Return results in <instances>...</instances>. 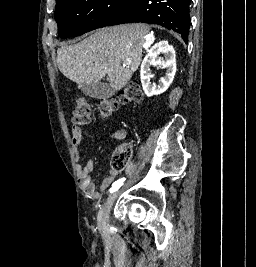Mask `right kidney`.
Wrapping results in <instances>:
<instances>
[{"label": "right kidney", "mask_w": 256, "mask_h": 267, "mask_svg": "<svg viewBox=\"0 0 256 267\" xmlns=\"http://www.w3.org/2000/svg\"><path fill=\"white\" fill-rule=\"evenodd\" d=\"M160 54H164V58H159ZM150 66L166 68V74L164 78H160L158 86L150 82L152 78ZM175 74L176 58L173 46H169L166 40L154 44L147 56H145L140 68L141 84L146 96H158V94L166 92L170 84H172Z\"/></svg>", "instance_id": "obj_1"}]
</instances>
